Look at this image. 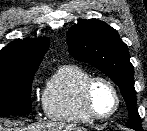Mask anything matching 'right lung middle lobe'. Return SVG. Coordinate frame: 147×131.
I'll return each instance as SVG.
<instances>
[{
    "instance_id": "dd1d6c3e",
    "label": "right lung middle lobe",
    "mask_w": 147,
    "mask_h": 131,
    "mask_svg": "<svg viewBox=\"0 0 147 131\" xmlns=\"http://www.w3.org/2000/svg\"><path fill=\"white\" fill-rule=\"evenodd\" d=\"M36 70H0V116L31 110V84Z\"/></svg>"
}]
</instances>
